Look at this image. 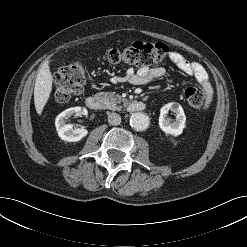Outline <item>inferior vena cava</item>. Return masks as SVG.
<instances>
[{
	"label": "inferior vena cava",
	"mask_w": 247,
	"mask_h": 247,
	"mask_svg": "<svg viewBox=\"0 0 247 247\" xmlns=\"http://www.w3.org/2000/svg\"><path fill=\"white\" fill-rule=\"evenodd\" d=\"M108 122L110 125H119L121 123V117L117 113H109L108 114Z\"/></svg>",
	"instance_id": "inferior-vena-cava-1"
}]
</instances>
